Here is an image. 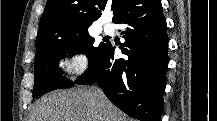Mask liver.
I'll list each match as a JSON object with an SVG mask.
<instances>
[{
    "instance_id": "6515ba94",
    "label": "liver",
    "mask_w": 217,
    "mask_h": 121,
    "mask_svg": "<svg viewBox=\"0 0 217 121\" xmlns=\"http://www.w3.org/2000/svg\"><path fill=\"white\" fill-rule=\"evenodd\" d=\"M31 121H125L123 113L95 89L55 91L42 97Z\"/></svg>"
}]
</instances>
